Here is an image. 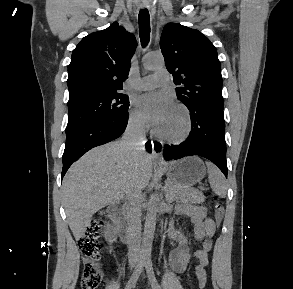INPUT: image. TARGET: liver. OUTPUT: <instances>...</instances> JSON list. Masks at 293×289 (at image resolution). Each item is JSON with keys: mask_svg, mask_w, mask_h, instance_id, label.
<instances>
[{"mask_svg": "<svg viewBox=\"0 0 293 289\" xmlns=\"http://www.w3.org/2000/svg\"><path fill=\"white\" fill-rule=\"evenodd\" d=\"M152 157L130 150L123 140L93 148L75 162L62 183L69 227L78 241L91 217L118 202L132 185L141 191L152 176Z\"/></svg>", "mask_w": 293, "mask_h": 289, "instance_id": "liver-1", "label": "liver"}]
</instances>
